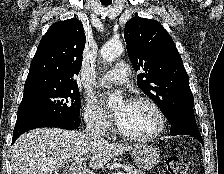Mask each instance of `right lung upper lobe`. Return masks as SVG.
<instances>
[{
	"label": "right lung upper lobe",
	"mask_w": 224,
	"mask_h": 174,
	"mask_svg": "<svg viewBox=\"0 0 224 174\" xmlns=\"http://www.w3.org/2000/svg\"><path fill=\"white\" fill-rule=\"evenodd\" d=\"M85 34L78 19L59 21L43 36L30 65L24 94L44 89L77 88Z\"/></svg>",
	"instance_id": "right-lung-upper-lobe-1"
}]
</instances>
